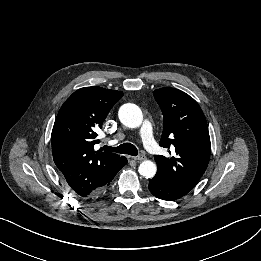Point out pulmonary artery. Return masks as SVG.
I'll return each instance as SVG.
<instances>
[{
  "label": "pulmonary artery",
  "instance_id": "1",
  "mask_svg": "<svg viewBox=\"0 0 261 261\" xmlns=\"http://www.w3.org/2000/svg\"><path fill=\"white\" fill-rule=\"evenodd\" d=\"M140 137L142 138L145 149L151 154H156L160 151V147L153 137V126L151 122L145 119L139 129Z\"/></svg>",
  "mask_w": 261,
  "mask_h": 261
}]
</instances>
